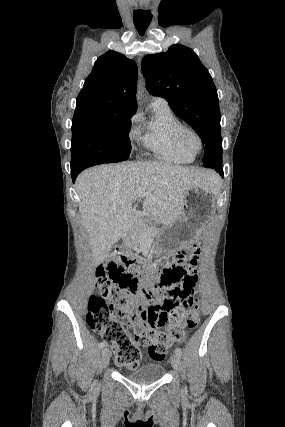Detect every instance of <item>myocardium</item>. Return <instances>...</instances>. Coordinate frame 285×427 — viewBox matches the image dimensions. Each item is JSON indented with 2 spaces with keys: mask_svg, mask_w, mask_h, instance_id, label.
<instances>
[{
  "mask_svg": "<svg viewBox=\"0 0 285 427\" xmlns=\"http://www.w3.org/2000/svg\"><path fill=\"white\" fill-rule=\"evenodd\" d=\"M187 134H191L196 138L197 144H198L196 149L192 150L187 146V144L185 142V136ZM176 136H177V141H178L180 147L184 151H186L192 155L198 154L203 149V140H202L201 135L199 134V132L196 129H194L191 126H186V125L180 126L176 132Z\"/></svg>",
  "mask_w": 285,
  "mask_h": 427,
  "instance_id": "f54148a6",
  "label": "myocardium"
}]
</instances>
